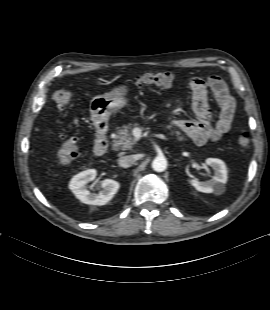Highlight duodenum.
I'll list each match as a JSON object with an SVG mask.
<instances>
[{
  "label": "duodenum",
  "instance_id": "duodenum-1",
  "mask_svg": "<svg viewBox=\"0 0 270 310\" xmlns=\"http://www.w3.org/2000/svg\"><path fill=\"white\" fill-rule=\"evenodd\" d=\"M108 126L105 123H101L96 128V141L94 145V153L97 156H102L106 153L109 142L107 138Z\"/></svg>",
  "mask_w": 270,
  "mask_h": 310
}]
</instances>
